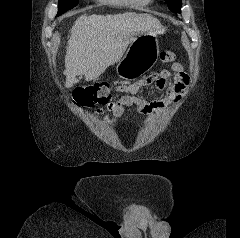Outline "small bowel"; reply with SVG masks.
Returning <instances> with one entry per match:
<instances>
[{
    "mask_svg": "<svg viewBox=\"0 0 240 238\" xmlns=\"http://www.w3.org/2000/svg\"><path fill=\"white\" fill-rule=\"evenodd\" d=\"M155 83L160 90H165L162 99L147 102L137 96L140 88ZM189 84V76L181 63L176 62L171 70H163L157 75L143 78L129 85L117 88L124 95L118 100L109 102L104 109L97 110V114L104 115L109 123H114L127 107H134L139 113L147 115L146 123L152 124L156 115L160 114L169 104L178 102L184 95Z\"/></svg>",
    "mask_w": 240,
    "mask_h": 238,
    "instance_id": "c3829d8e",
    "label": "small bowel"
}]
</instances>
